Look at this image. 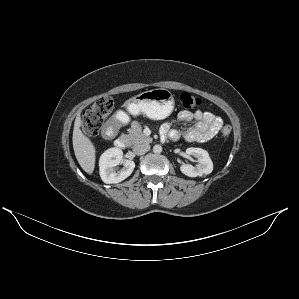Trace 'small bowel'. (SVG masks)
Here are the masks:
<instances>
[{
	"mask_svg": "<svg viewBox=\"0 0 299 299\" xmlns=\"http://www.w3.org/2000/svg\"><path fill=\"white\" fill-rule=\"evenodd\" d=\"M193 121L195 122L194 125L185 130L172 128L169 123L164 124L161 129L162 135L164 137L168 136L172 140L184 139L187 142H205L217 135L223 126V120L211 112L201 110L195 112L183 110L179 112V123L186 124Z\"/></svg>",
	"mask_w": 299,
	"mask_h": 299,
	"instance_id": "small-bowel-1",
	"label": "small bowel"
}]
</instances>
